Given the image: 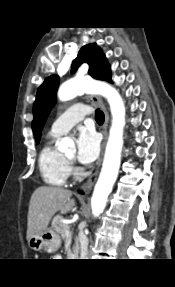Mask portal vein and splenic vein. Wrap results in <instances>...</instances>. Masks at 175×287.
<instances>
[{
	"mask_svg": "<svg viewBox=\"0 0 175 287\" xmlns=\"http://www.w3.org/2000/svg\"><path fill=\"white\" fill-rule=\"evenodd\" d=\"M65 234H66L67 236H69V235L71 234V232H70V229H69V228H65Z\"/></svg>",
	"mask_w": 175,
	"mask_h": 287,
	"instance_id": "portal-vein-and-splenic-vein-1",
	"label": "portal vein and splenic vein"
}]
</instances>
